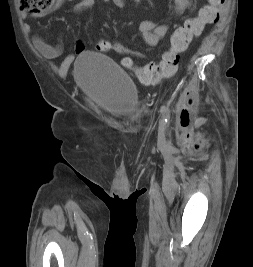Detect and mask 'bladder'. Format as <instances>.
Masks as SVG:
<instances>
[{
  "instance_id": "31cf9c89",
  "label": "bladder",
  "mask_w": 253,
  "mask_h": 267,
  "mask_svg": "<svg viewBox=\"0 0 253 267\" xmlns=\"http://www.w3.org/2000/svg\"><path fill=\"white\" fill-rule=\"evenodd\" d=\"M80 89L108 115L126 120L140 107L139 91L130 76L103 54L86 51L74 64Z\"/></svg>"
}]
</instances>
